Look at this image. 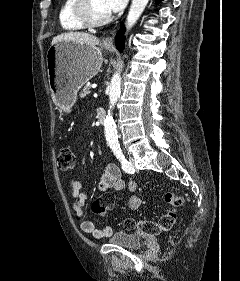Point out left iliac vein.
I'll return each instance as SVG.
<instances>
[{
    "label": "left iliac vein",
    "instance_id": "obj_1",
    "mask_svg": "<svg viewBox=\"0 0 240 281\" xmlns=\"http://www.w3.org/2000/svg\"><path fill=\"white\" fill-rule=\"evenodd\" d=\"M129 161H130L131 165L133 166V164H134V159H133L132 157H130V158H129Z\"/></svg>",
    "mask_w": 240,
    "mask_h": 281
}]
</instances>
